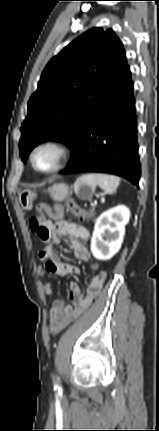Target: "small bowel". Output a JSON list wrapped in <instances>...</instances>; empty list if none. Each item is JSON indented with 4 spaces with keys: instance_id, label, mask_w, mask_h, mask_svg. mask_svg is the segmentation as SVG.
<instances>
[{
    "instance_id": "c3829d8e",
    "label": "small bowel",
    "mask_w": 159,
    "mask_h": 431,
    "mask_svg": "<svg viewBox=\"0 0 159 431\" xmlns=\"http://www.w3.org/2000/svg\"><path fill=\"white\" fill-rule=\"evenodd\" d=\"M44 230L45 233L37 234L40 240L45 244L39 252V258L42 264L37 268L38 274L43 275L48 272L63 277L68 274L79 273L78 267L63 262L60 257L54 253L53 246L59 243V236L70 238L76 258L88 261L90 259V252L80 242V240L86 241L89 239L88 230L62 218H57L55 222L46 220L44 223ZM98 269L99 266L95 268V271H92L91 281L86 292H82L79 285L72 282L69 286L70 303H65L62 300L54 301L49 313L50 330L53 335L59 333L78 318L99 295L105 280V273ZM44 292L48 295L52 294L53 285L51 283H46Z\"/></svg>"
}]
</instances>
